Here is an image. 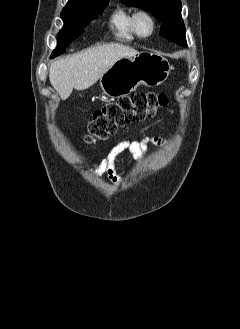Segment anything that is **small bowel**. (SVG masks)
Returning a JSON list of instances; mask_svg holds the SVG:
<instances>
[{
    "label": "small bowel",
    "instance_id": "small-bowel-1",
    "mask_svg": "<svg viewBox=\"0 0 240 329\" xmlns=\"http://www.w3.org/2000/svg\"><path fill=\"white\" fill-rule=\"evenodd\" d=\"M149 143L162 148H166L168 145V142L160 137H145L139 141H121L113 146L105 158L94 165L92 175L99 177L105 174L111 182L120 183L121 179L116 170L117 158L124 152H129L135 157L136 160L142 161Z\"/></svg>",
    "mask_w": 240,
    "mask_h": 329
}]
</instances>
